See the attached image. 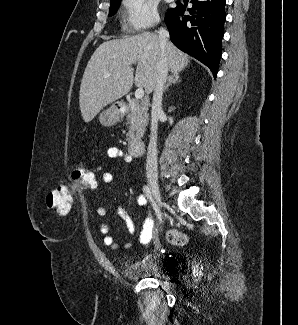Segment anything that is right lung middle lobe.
<instances>
[{
  "mask_svg": "<svg viewBox=\"0 0 298 325\" xmlns=\"http://www.w3.org/2000/svg\"><path fill=\"white\" fill-rule=\"evenodd\" d=\"M121 0H118L116 2H112L110 5V10H109V16H113L114 14H116L117 9L120 5Z\"/></svg>",
  "mask_w": 298,
  "mask_h": 325,
  "instance_id": "obj_1",
  "label": "right lung middle lobe"
}]
</instances>
